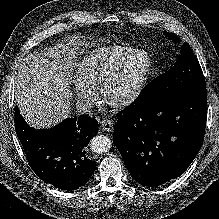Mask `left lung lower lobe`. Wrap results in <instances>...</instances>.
Returning <instances> with one entry per match:
<instances>
[{
  "instance_id": "1",
  "label": "left lung lower lobe",
  "mask_w": 219,
  "mask_h": 219,
  "mask_svg": "<svg viewBox=\"0 0 219 219\" xmlns=\"http://www.w3.org/2000/svg\"><path fill=\"white\" fill-rule=\"evenodd\" d=\"M113 142L133 179L160 186L182 175L199 152L207 119L205 88L151 106L131 104L117 116Z\"/></svg>"
}]
</instances>
